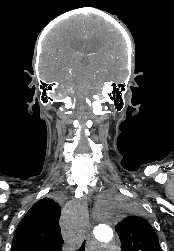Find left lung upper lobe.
Wrapping results in <instances>:
<instances>
[{"label":"left lung upper lobe","instance_id":"5c2ea615","mask_svg":"<svg viewBox=\"0 0 174 251\" xmlns=\"http://www.w3.org/2000/svg\"><path fill=\"white\" fill-rule=\"evenodd\" d=\"M115 229L122 251H162L151 225L138 216L127 217Z\"/></svg>","mask_w":174,"mask_h":251}]
</instances>
